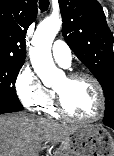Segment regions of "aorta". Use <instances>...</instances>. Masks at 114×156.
Wrapping results in <instances>:
<instances>
[{
  "label": "aorta",
  "instance_id": "aorta-1",
  "mask_svg": "<svg viewBox=\"0 0 114 156\" xmlns=\"http://www.w3.org/2000/svg\"><path fill=\"white\" fill-rule=\"evenodd\" d=\"M60 27V17L50 16L37 27L32 39L31 64L46 86L52 85L62 75V72L55 67L51 54L52 42Z\"/></svg>",
  "mask_w": 114,
  "mask_h": 156
}]
</instances>
